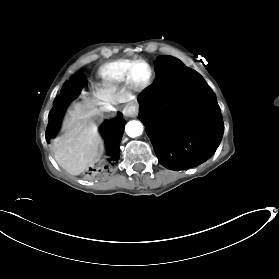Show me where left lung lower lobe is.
<instances>
[{"instance_id": "left-lung-lower-lobe-1", "label": "left lung lower lobe", "mask_w": 279, "mask_h": 279, "mask_svg": "<svg viewBox=\"0 0 279 279\" xmlns=\"http://www.w3.org/2000/svg\"><path fill=\"white\" fill-rule=\"evenodd\" d=\"M157 87L138 96L139 119L145 125L159 162L184 170L209 159L219 146L223 121L215 95L204 79L179 60L155 64Z\"/></svg>"}]
</instances>
